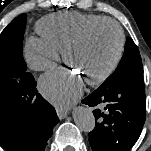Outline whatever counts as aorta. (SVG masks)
<instances>
[{
	"mask_svg": "<svg viewBox=\"0 0 151 151\" xmlns=\"http://www.w3.org/2000/svg\"><path fill=\"white\" fill-rule=\"evenodd\" d=\"M73 118L77 127L84 132H91L95 128V117L92 111L86 107H76Z\"/></svg>",
	"mask_w": 151,
	"mask_h": 151,
	"instance_id": "1",
	"label": "aorta"
}]
</instances>
